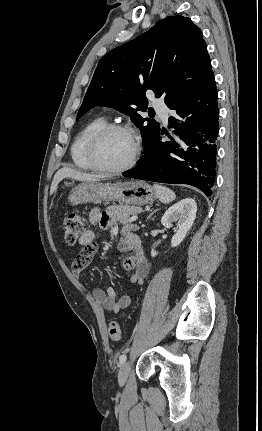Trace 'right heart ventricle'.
Listing matches in <instances>:
<instances>
[{"instance_id":"right-heart-ventricle-1","label":"right heart ventricle","mask_w":262,"mask_h":431,"mask_svg":"<svg viewBox=\"0 0 262 431\" xmlns=\"http://www.w3.org/2000/svg\"><path fill=\"white\" fill-rule=\"evenodd\" d=\"M108 125L106 116H97L90 120L76 135L71 145V159L73 165L83 171H96L88 159V146L92 136L104 126Z\"/></svg>"}]
</instances>
